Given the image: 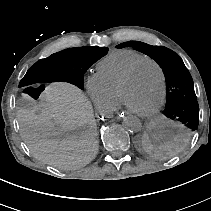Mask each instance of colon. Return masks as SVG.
<instances>
[{
    "label": "colon",
    "mask_w": 211,
    "mask_h": 211,
    "mask_svg": "<svg viewBox=\"0 0 211 211\" xmlns=\"http://www.w3.org/2000/svg\"><path fill=\"white\" fill-rule=\"evenodd\" d=\"M45 90V86L42 84H34L26 87L23 91V96L27 100L38 99Z\"/></svg>",
    "instance_id": "1"
}]
</instances>
